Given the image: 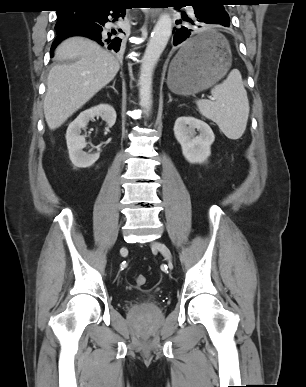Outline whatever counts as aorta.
Here are the masks:
<instances>
[{
    "instance_id": "aorta-1",
    "label": "aorta",
    "mask_w": 306,
    "mask_h": 387,
    "mask_svg": "<svg viewBox=\"0 0 306 387\" xmlns=\"http://www.w3.org/2000/svg\"><path fill=\"white\" fill-rule=\"evenodd\" d=\"M172 33V19L163 13L153 28L142 59L139 78L140 106L145 113L152 107V75Z\"/></svg>"
}]
</instances>
